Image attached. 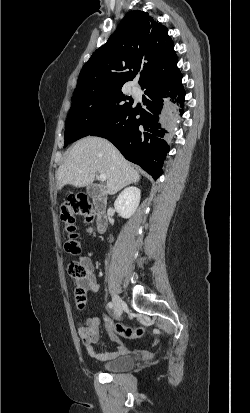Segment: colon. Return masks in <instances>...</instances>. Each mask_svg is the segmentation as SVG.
I'll return each mask as SVG.
<instances>
[{
  "instance_id": "1",
  "label": "colon",
  "mask_w": 250,
  "mask_h": 413,
  "mask_svg": "<svg viewBox=\"0 0 250 413\" xmlns=\"http://www.w3.org/2000/svg\"><path fill=\"white\" fill-rule=\"evenodd\" d=\"M77 216L84 217L88 222H92L95 217L94 209L91 203L85 196L69 197L61 207V220L67 232L65 241V250L71 255H78L81 252V244L76 232L75 221ZM70 274L73 278L80 280L86 276L85 268L79 262L71 263L69 267ZM86 292L83 287L76 289V302L79 307H83L86 303ZM110 323L112 329L119 335L127 338H137L146 334V329L142 323H137L136 327L126 326L120 323ZM153 344H157V339H152Z\"/></svg>"
}]
</instances>
